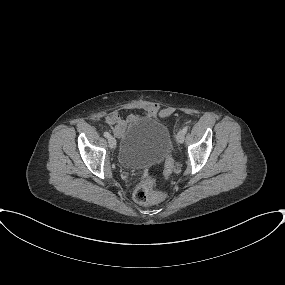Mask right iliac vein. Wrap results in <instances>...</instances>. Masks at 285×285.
Wrapping results in <instances>:
<instances>
[{"label": "right iliac vein", "mask_w": 285, "mask_h": 285, "mask_svg": "<svg viewBox=\"0 0 285 285\" xmlns=\"http://www.w3.org/2000/svg\"><path fill=\"white\" fill-rule=\"evenodd\" d=\"M108 143L111 149H114L116 147V139L112 136L108 138Z\"/></svg>", "instance_id": "63e3f726"}]
</instances>
